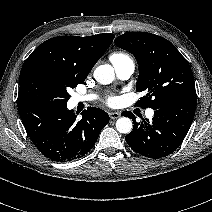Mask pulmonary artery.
Here are the masks:
<instances>
[{"label":"pulmonary artery","instance_id":"e3ab8cb5","mask_svg":"<svg viewBox=\"0 0 212 212\" xmlns=\"http://www.w3.org/2000/svg\"><path fill=\"white\" fill-rule=\"evenodd\" d=\"M113 65H114V68H115V71H116L118 77L121 79H128L132 75V73L134 72V69H135V64H134L133 60L130 58L113 63ZM94 98H95V95H92V94L87 95V96L75 95L73 97V101L75 103H78V102L90 101ZM153 115H154V111L152 109H148L146 111V116L148 118H152Z\"/></svg>","mask_w":212,"mask_h":212}]
</instances>
